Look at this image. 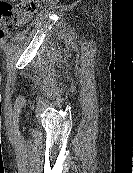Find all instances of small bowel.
Here are the masks:
<instances>
[{
	"mask_svg": "<svg viewBox=\"0 0 133 173\" xmlns=\"http://www.w3.org/2000/svg\"><path fill=\"white\" fill-rule=\"evenodd\" d=\"M28 20V15H24L21 17L20 22L23 23Z\"/></svg>",
	"mask_w": 133,
	"mask_h": 173,
	"instance_id": "obj_1",
	"label": "small bowel"
}]
</instances>
